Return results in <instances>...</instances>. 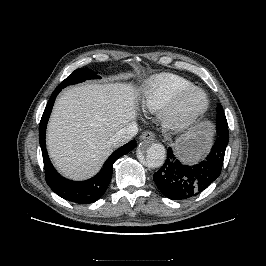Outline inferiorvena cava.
<instances>
[{
  "label": "inferior vena cava",
  "instance_id": "obj_1",
  "mask_svg": "<svg viewBox=\"0 0 266 266\" xmlns=\"http://www.w3.org/2000/svg\"><path fill=\"white\" fill-rule=\"evenodd\" d=\"M138 133V126L136 122H131L124 128L117 131L112 138H110V143L114 147H119L127 142H129Z\"/></svg>",
  "mask_w": 266,
  "mask_h": 266
}]
</instances>
